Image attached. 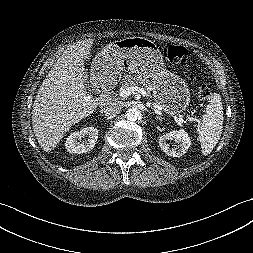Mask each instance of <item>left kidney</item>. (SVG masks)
<instances>
[{
  "label": "left kidney",
  "instance_id": "1",
  "mask_svg": "<svg viewBox=\"0 0 253 253\" xmlns=\"http://www.w3.org/2000/svg\"><path fill=\"white\" fill-rule=\"evenodd\" d=\"M175 140L178 143L176 148H170L167 141ZM160 148L169 156L180 157L186 153L191 145V140L188 133L184 129L174 130L169 133L163 134L159 138Z\"/></svg>",
  "mask_w": 253,
  "mask_h": 253
}]
</instances>
